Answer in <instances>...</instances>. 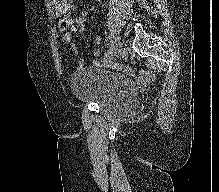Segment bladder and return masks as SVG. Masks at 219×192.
Returning <instances> with one entry per match:
<instances>
[{"mask_svg":"<svg viewBox=\"0 0 219 192\" xmlns=\"http://www.w3.org/2000/svg\"><path fill=\"white\" fill-rule=\"evenodd\" d=\"M72 92L78 101L91 102L116 117H128L139 108V94L130 78L100 67L78 69L72 77Z\"/></svg>","mask_w":219,"mask_h":192,"instance_id":"31cf9c89","label":"bladder"}]
</instances>
